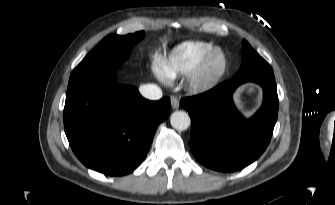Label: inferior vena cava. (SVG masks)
Returning <instances> with one entry per match:
<instances>
[{
    "instance_id": "1",
    "label": "inferior vena cava",
    "mask_w": 335,
    "mask_h": 205,
    "mask_svg": "<svg viewBox=\"0 0 335 205\" xmlns=\"http://www.w3.org/2000/svg\"><path fill=\"white\" fill-rule=\"evenodd\" d=\"M141 95L150 100H159L162 98V90L155 84H145L139 87Z\"/></svg>"
}]
</instances>
